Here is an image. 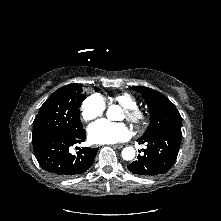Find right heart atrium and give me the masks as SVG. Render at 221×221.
I'll use <instances>...</instances> for the list:
<instances>
[{"instance_id": "1", "label": "right heart atrium", "mask_w": 221, "mask_h": 221, "mask_svg": "<svg viewBox=\"0 0 221 221\" xmlns=\"http://www.w3.org/2000/svg\"><path fill=\"white\" fill-rule=\"evenodd\" d=\"M104 99L98 94H92L85 98L80 108L81 118L86 122H91L99 118L105 111Z\"/></svg>"}]
</instances>
